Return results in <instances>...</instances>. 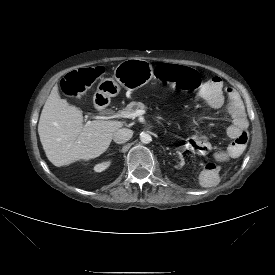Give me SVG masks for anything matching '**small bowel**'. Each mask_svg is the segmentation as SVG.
Wrapping results in <instances>:
<instances>
[{
	"mask_svg": "<svg viewBox=\"0 0 275 275\" xmlns=\"http://www.w3.org/2000/svg\"><path fill=\"white\" fill-rule=\"evenodd\" d=\"M201 97L204 104L211 109L220 108L227 100V112L231 118V124L227 128V135L236 139L248 127V121L240 98L233 89H224L219 77H212L201 90ZM185 149L192 156H205L208 159L201 162L200 174L196 179L199 189L208 191L215 187L222 176L221 166L225 165L230 158L238 155H229L221 148L212 149V143L205 136L192 137L187 140Z\"/></svg>",
	"mask_w": 275,
	"mask_h": 275,
	"instance_id": "obj_1",
	"label": "small bowel"
}]
</instances>
